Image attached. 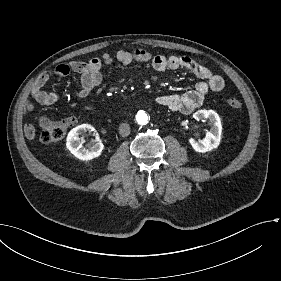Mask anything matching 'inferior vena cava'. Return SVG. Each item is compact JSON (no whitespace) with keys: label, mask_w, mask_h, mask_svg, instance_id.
<instances>
[{"label":"inferior vena cava","mask_w":281,"mask_h":281,"mask_svg":"<svg viewBox=\"0 0 281 281\" xmlns=\"http://www.w3.org/2000/svg\"><path fill=\"white\" fill-rule=\"evenodd\" d=\"M119 134L122 137H126L130 134V126L126 123L120 124L119 126Z\"/></svg>","instance_id":"inferior-vena-cava-1"}]
</instances>
